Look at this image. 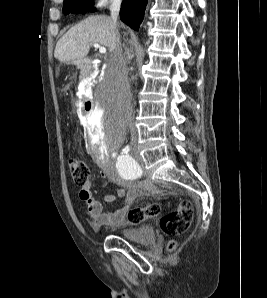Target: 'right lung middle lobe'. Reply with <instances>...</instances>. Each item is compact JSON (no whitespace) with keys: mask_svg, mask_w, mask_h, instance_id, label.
Returning <instances> with one entry per match:
<instances>
[{"mask_svg":"<svg viewBox=\"0 0 267 298\" xmlns=\"http://www.w3.org/2000/svg\"><path fill=\"white\" fill-rule=\"evenodd\" d=\"M94 3L92 0H64L63 11L68 13H82L88 11H95Z\"/></svg>","mask_w":267,"mask_h":298,"instance_id":"obj_1","label":"right lung middle lobe"}]
</instances>
